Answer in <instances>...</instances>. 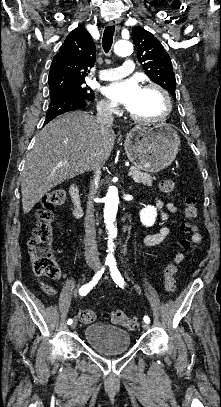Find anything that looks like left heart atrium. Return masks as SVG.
Returning a JSON list of instances; mask_svg holds the SVG:
<instances>
[{"label": "left heart atrium", "instance_id": "39dd6f15", "mask_svg": "<svg viewBox=\"0 0 221 407\" xmlns=\"http://www.w3.org/2000/svg\"><path fill=\"white\" fill-rule=\"evenodd\" d=\"M141 90L138 81L135 78H130L109 85L105 89V94L111 100L122 103L126 107L131 108Z\"/></svg>", "mask_w": 221, "mask_h": 407}]
</instances>
